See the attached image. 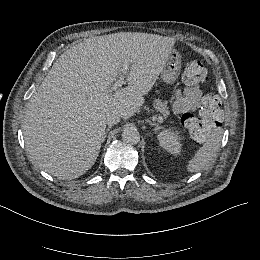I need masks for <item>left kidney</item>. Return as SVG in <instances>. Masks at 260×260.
I'll return each mask as SVG.
<instances>
[{"label": "left kidney", "mask_w": 260, "mask_h": 260, "mask_svg": "<svg viewBox=\"0 0 260 260\" xmlns=\"http://www.w3.org/2000/svg\"><path fill=\"white\" fill-rule=\"evenodd\" d=\"M159 145L167 152L177 155L181 151L180 135L178 131L166 129L157 135Z\"/></svg>", "instance_id": "obj_1"}]
</instances>
